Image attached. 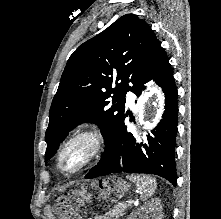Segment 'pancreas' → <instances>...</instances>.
<instances>
[{
    "label": "pancreas",
    "mask_w": 221,
    "mask_h": 219,
    "mask_svg": "<svg viewBox=\"0 0 221 219\" xmlns=\"http://www.w3.org/2000/svg\"><path fill=\"white\" fill-rule=\"evenodd\" d=\"M127 209L126 206L117 205L113 209H110L106 212L105 219H118L119 217L123 216L124 211Z\"/></svg>",
    "instance_id": "cf45deb5"
}]
</instances>
